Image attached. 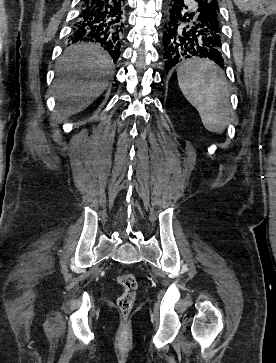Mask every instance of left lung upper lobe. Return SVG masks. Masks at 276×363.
Wrapping results in <instances>:
<instances>
[{
    "instance_id": "1",
    "label": "left lung upper lobe",
    "mask_w": 276,
    "mask_h": 363,
    "mask_svg": "<svg viewBox=\"0 0 276 363\" xmlns=\"http://www.w3.org/2000/svg\"><path fill=\"white\" fill-rule=\"evenodd\" d=\"M199 1H205L210 6H212L213 8H215L217 10L218 14H219V19H220L219 5H218V1L217 0H199ZM220 37H221V33H220Z\"/></svg>"
}]
</instances>
